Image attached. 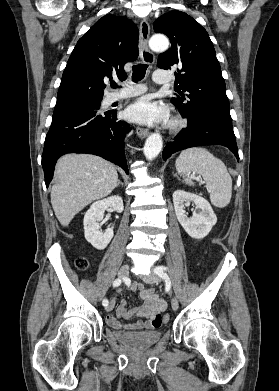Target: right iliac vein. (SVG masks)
<instances>
[{"mask_svg":"<svg viewBox=\"0 0 279 391\" xmlns=\"http://www.w3.org/2000/svg\"><path fill=\"white\" fill-rule=\"evenodd\" d=\"M128 273H129V265L125 264L120 268L118 277L120 279H124L127 277ZM114 305H115V300L112 299L110 303L106 306V311H111L114 308Z\"/></svg>","mask_w":279,"mask_h":391,"instance_id":"63e3f726","label":"right iliac vein"}]
</instances>
